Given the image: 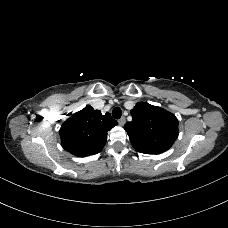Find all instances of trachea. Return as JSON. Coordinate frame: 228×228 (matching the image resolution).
Returning <instances> with one entry per match:
<instances>
[{
  "label": "trachea",
  "mask_w": 228,
  "mask_h": 228,
  "mask_svg": "<svg viewBox=\"0 0 228 228\" xmlns=\"http://www.w3.org/2000/svg\"><path fill=\"white\" fill-rule=\"evenodd\" d=\"M122 115V111L119 107H115L112 111V116L115 118V119H119Z\"/></svg>",
  "instance_id": "1"
}]
</instances>
